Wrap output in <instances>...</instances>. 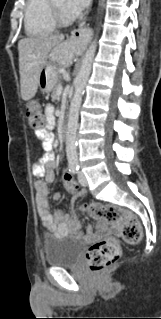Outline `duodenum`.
<instances>
[{
  "mask_svg": "<svg viewBox=\"0 0 161 319\" xmlns=\"http://www.w3.org/2000/svg\"><path fill=\"white\" fill-rule=\"evenodd\" d=\"M66 133H67L66 126H62L61 131H60L61 136L64 137L66 135Z\"/></svg>",
  "mask_w": 161,
  "mask_h": 319,
  "instance_id": "1",
  "label": "duodenum"
}]
</instances>
